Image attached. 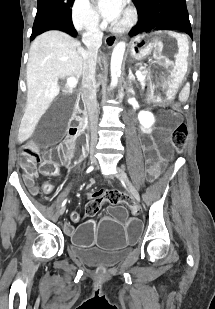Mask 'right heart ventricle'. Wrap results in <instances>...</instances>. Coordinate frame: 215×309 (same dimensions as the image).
<instances>
[{
  "mask_svg": "<svg viewBox=\"0 0 215 309\" xmlns=\"http://www.w3.org/2000/svg\"><path fill=\"white\" fill-rule=\"evenodd\" d=\"M87 44H99V43H87Z\"/></svg>",
  "mask_w": 215,
  "mask_h": 309,
  "instance_id": "right-heart-ventricle-1",
  "label": "right heart ventricle"
}]
</instances>
